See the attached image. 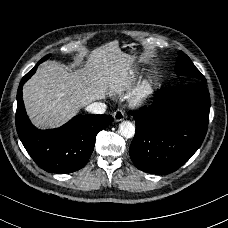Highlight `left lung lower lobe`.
Instances as JSON below:
<instances>
[{
	"instance_id": "1",
	"label": "left lung lower lobe",
	"mask_w": 228,
	"mask_h": 228,
	"mask_svg": "<svg viewBox=\"0 0 228 228\" xmlns=\"http://www.w3.org/2000/svg\"><path fill=\"white\" fill-rule=\"evenodd\" d=\"M210 96L204 83L160 91L144 111H132L136 133L129 148L135 166L147 173L168 174L201 146L208 127Z\"/></svg>"
}]
</instances>
